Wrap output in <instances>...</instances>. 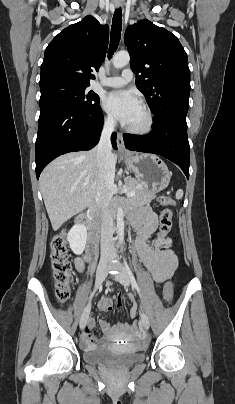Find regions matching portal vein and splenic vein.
Returning a JSON list of instances; mask_svg holds the SVG:
<instances>
[{
	"mask_svg": "<svg viewBox=\"0 0 235 404\" xmlns=\"http://www.w3.org/2000/svg\"><path fill=\"white\" fill-rule=\"evenodd\" d=\"M85 184H87V183H85ZM126 195H127V197H133L135 195V191H130Z\"/></svg>",
	"mask_w": 235,
	"mask_h": 404,
	"instance_id": "obj_1",
	"label": "portal vein and splenic vein"
}]
</instances>
